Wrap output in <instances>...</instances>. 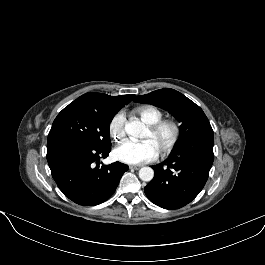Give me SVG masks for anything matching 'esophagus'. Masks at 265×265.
Instances as JSON below:
<instances>
[{
  "mask_svg": "<svg viewBox=\"0 0 265 265\" xmlns=\"http://www.w3.org/2000/svg\"><path fill=\"white\" fill-rule=\"evenodd\" d=\"M141 167V165H130V169H139Z\"/></svg>",
  "mask_w": 265,
  "mask_h": 265,
  "instance_id": "1",
  "label": "esophagus"
}]
</instances>
